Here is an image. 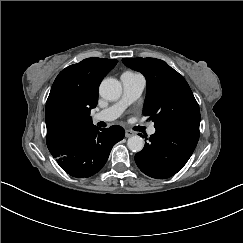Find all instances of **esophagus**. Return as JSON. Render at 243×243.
Instances as JSON below:
<instances>
[{
    "instance_id": "obj_1",
    "label": "esophagus",
    "mask_w": 243,
    "mask_h": 243,
    "mask_svg": "<svg viewBox=\"0 0 243 243\" xmlns=\"http://www.w3.org/2000/svg\"><path fill=\"white\" fill-rule=\"evenodd\" d=\"M134 132L133 131H130V130H126L125 131V137L126 138H129V137H131V136H134Z\"/></svg>"
}]
</instances>
